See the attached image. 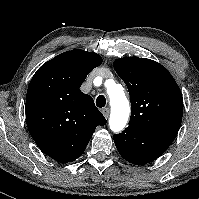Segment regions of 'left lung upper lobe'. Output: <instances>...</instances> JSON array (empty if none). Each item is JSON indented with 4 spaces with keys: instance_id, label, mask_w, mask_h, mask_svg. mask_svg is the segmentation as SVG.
<instances>
[{
    "instance_id": "1",
    "label": "left lung upper lobe",
    "mask_w": 199,
    "mask_h": 199,
    "mask_svg": "<svg viewBox=\"0 0 199 199\" xmlns=\"http://www.w3.org/2000/svg\"><path fill=\"white\" fill-rule=\"evenodd\" d=\"M113 66L129 91V126L173 142L182 122L183 97L170 72L139 57L117 59Z\"/></svg>"
}]
</instances>
